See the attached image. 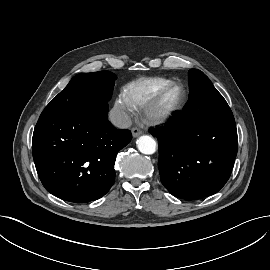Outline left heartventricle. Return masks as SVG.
Listing matches in <instances>:
<instances>
[{"label":"left heart ventricle","instance_id":"obj_1","mask_svg":"<svg viewBox=\"0 0 270 270\" xmlns=\"http://www.w3.org/2000/svg\"><path fill=\"white\" fill-rule=\"evenodd\" d=\"M179 97V91L178 90H172L168 96H167V101H174Z\"/></svg>","mask_w":270,"mask_h":270}]
</instances>
